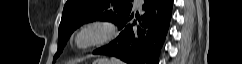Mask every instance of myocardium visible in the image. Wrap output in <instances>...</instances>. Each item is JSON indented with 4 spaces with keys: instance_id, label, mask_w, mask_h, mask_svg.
<instances>
[{
    "instance_id": "myocardium-1",
    "label": "myocardium",
    "mask_w": 242,
    "mask_h": 64,
    "mask_svg": "<svg viewBox=\"0 0 242 64\" xmlns=\"http://www.w3.org/2000/svg\"><path fill=\"white\" fill-rule=\"evenodd\" d=\"M117 34L115 25L106 20H91L80 25L72 35V44L85 51L111 42Z\"/></svg>"
}]
</instances>
